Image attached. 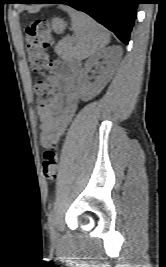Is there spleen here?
<instances>
[{"label":"spleen","mask_w":166,"mask_h":267,"mask_svg":"<svg viewBox=\"0 0 166 267\" xmlns=\"http://www.w3.org/2000/svg\"><path fill=\"white\" fill-rule=\"evenodd\" d=\"M72 19V29L77 42L72 48V56L82 60L95 55L110 41L109 33L94 19L83 12L63 7Z\"/></svg>","instance_id":"1"}]
</instances>
